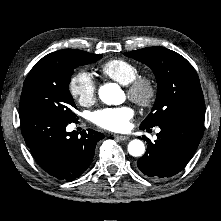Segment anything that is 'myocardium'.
I'll use <instances>...</instances> for the list:
<instances>
[{
  "instance_id": "obj_1",
  "label": "myocardium",
  "mask_w": 221,
  "mask_h": 221,
  "mask_svg": "<svg viewBox=\"0 0 221 221\" xmlns=\"http://www.w3.org/2000/svg\"><path fill=\"white\" fill-rule=\"evenodd\" d=\"M126 94L129 100L137 106L149 108L156 100V83L151 77L138 76L126 85Z\"/></svg>"
}]
</instances>
